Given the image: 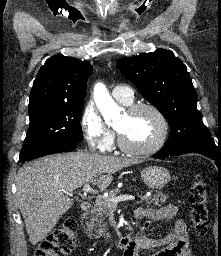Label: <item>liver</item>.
<instances>
[{
  "label": "liver",
  "mask_w": 221,
  "mask_h": 256,
  "mask_svg": "<svg viewBox=\"0 0 221 256\" xmlns=\"http://www.w3.org/2000/svg\"><path fill=\"white\" fill-rule=\"evenodd\" d=\"M137 163L136 159L77 151L23 165L16 177V197L32 245L42 241L72 207L66 193L86 183L106 189L113 173Z\"/></svg>",
  "instance_id": "6515ba94"
}]
</instances>
